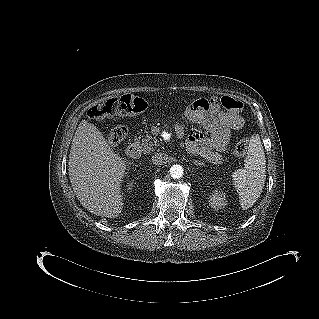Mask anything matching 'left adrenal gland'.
Wrapping results in <instances>:
<instances>
[{"label": "left adrenal gland", "instance_id": "1", "mask_svg": "<svg viewBox=\"0 0 319 319\" xmlns=\"http://www.w3.org/2000/svg\"><path fill=\"white\" fill-rule=\"evenodd\" d=\"M195 164H200V163H198V162H195Z\"/></svg>", "mask_w": 319, "mask_h": 319}]
</instances>
